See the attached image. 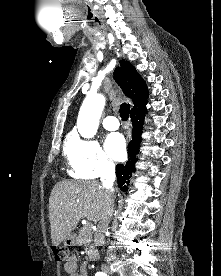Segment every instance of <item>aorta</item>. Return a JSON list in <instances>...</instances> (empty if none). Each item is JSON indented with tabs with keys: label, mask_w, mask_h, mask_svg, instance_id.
<instances>
[{
	"label": "aorta",
	"mask_w": 221,
	"mask_h": 276,
	"mask_svg": "<svg viewBox=\"0 0 221 276\" xmlns=\"http://www.w3.org/2000/svg\"><path fill=\"white\" fill-rule=\"evenodd\" d=\"M104 106L105 98L101 94L85 98L77 119L78 132L82 137L92 138L96 135Z\"/></svg>",
	"instance_id": "762f6f07"
}]
</instances>
